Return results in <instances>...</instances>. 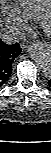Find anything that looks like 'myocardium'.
<instances>
[{
	"instance_id": "f54148a6",
	"label": "myocardium",
	"mask_w": 51,
	"mask_h": 153,
	"mask_svg": "<svg viewBox=\"0 0 51 153\" xmlns=\"http://www.w3.org/2000/svg\"><path fill=\"white\" fill-rule=\"evenodd\" d=\"M41 25L46 32H51V14L49 12L42 17Z\"/></svg>"
}]
</instances>
